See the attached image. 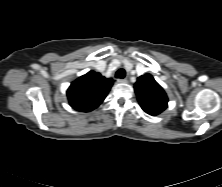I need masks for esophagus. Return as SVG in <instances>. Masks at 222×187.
<instances>
[{
  "instance_id": "obj_1",
  "label": "esophagus",
  "mask_w": 222,
  "mask_h": 187,
  "mask_svg": "<svg viewBox=\"0 0 222 187\" xmlns=\"http://www.w3.org/2000/svg\"><path fill=\"white\" fill-rule=\"evenodd\" d=\"M128 80L126 78L123 79H118L117 82L118 83H126Z\"/></svg>"
}]
</instances>
